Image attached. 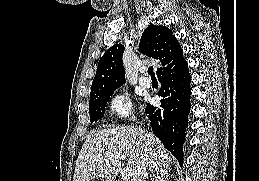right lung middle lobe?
I'll return each mask as SVG.
<instances>
[{
	"mask_svg": "<svg viewBox=\"0 0 259 181\" xmlns=\"http://www.w3.org/2000/svg\"><path fill=\"white\" fill-rule=\"evenodd\" d=\"M114 91L105 92L90 98L89 113L91 122H95L103 117L106 103Z\"/></svg>",
	"mask_w": 259,
	"mask_h": 181,
	"instance_id": "dd1d6c3e",
	"label": "right lung middle lobe"
}]
</instances>
